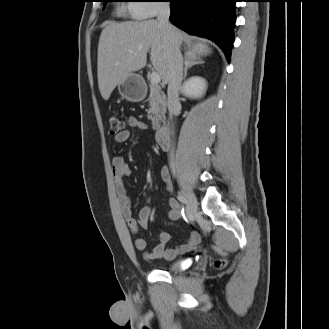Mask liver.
Here are the masks:
<instances>
[{
    "mask_svg": "<svg viewBox=\"0 0 329 329\" xmlns=\"http://www.w3.org/2000/svg\"><path fill=\"white\" fill-rule=\"evenodd\" d=\"M176 29V28H175ZM179 43H187L185 55L199 58L211 53L204 42L190 43L189 37L176 29ZM162 82H168L171 48L163 27L154 19L109 23L102 30L98 43V86L104 100L110 98L117 85L147 62V53Z\"/></svg>",
    "mask_w": 329,
    "mask_h": 329,
    "instance_id": "1",
    "label": "liver"
}]
</instances>
